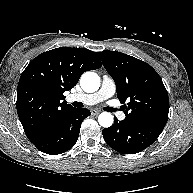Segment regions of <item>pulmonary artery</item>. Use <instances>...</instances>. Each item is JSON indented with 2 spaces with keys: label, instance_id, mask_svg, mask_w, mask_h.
I'll list each match as a JSON object with an SVG mask.
<instances>
[{
  "label": "pulmonary artery",
  "instance_id": "1",
  "mask_svg": "<svg viewBox=\"0 0 193 193\" xmlns=\"http://www.w3.org/2000/svg\"><path fill=\"white\" fill-rule=\"evenodd\" d=\"M115 91L116 84L114 80L110 76L104 75L98 91L89 94H72L68 97V100L78 101L86 105H94L112 97L115 94ZM117 117L120 120H123L125 114L123 112H117Z\"/></svg>",
  "mask_w": 193,
  "mask_h": 193
}]
</instances>
